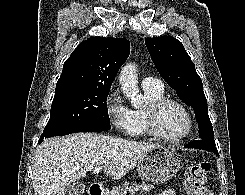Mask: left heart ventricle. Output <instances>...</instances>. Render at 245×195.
Listing matches in <instances>:
<instances>
[{
	"label": "left heart ventricle",
	"mask_w": 245,
	"mask_h": 195,
	"mask_svg": "<svg viewBox=\"0 0 245 195\" xmlns=\"http://www.w3.org/2000/svg\"><path fill=\"white\" fill-rule=\"evenodd\" d=\"M158 126L161 132L167 136H179L187 130V115L179 106L168 105L159 115Z\"/></svg>",
	"instance_id": "left-heart-ventricle-1"
}]
</instances>
